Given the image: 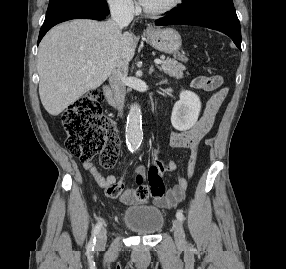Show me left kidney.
<instances>
[{"instance_id": "5707ae66", "label": "left kidney", "mask_w": 286, "mask_h": 269, "mask_svg": "<svg viewBox=\"0 0 286 269\" xmlns=\"http://www.w3.org/2000/svg\"><path fill=\"white\" fill-rule=\"evenodd\" d=\"M201 110L199 97L191 91L180 93V100L173 107L171 115L172 126L179 131L192 128L198 120Z\"/></svg>"}]
</instances>
